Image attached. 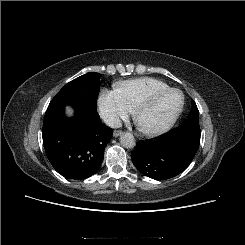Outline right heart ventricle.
Segmentation results:
<instances>
[{
  "label": "right heart ventricle",
  "mask_w": 245,
  "mask_h": 245,
  "mask_svg": "<svg viewBox=\"0 0 245 245\" xmlns=\"http://www.w3.org/2000/svg\"><path fill=\"white\" fill-rule=\"evenodd\" d=\"M168 88L170 87L165 82L151 77L135 78L115 84V91L130 108L145 96Z\"/></svg>",
  "instance_id": "e07e8e85"
}]
</instances>
